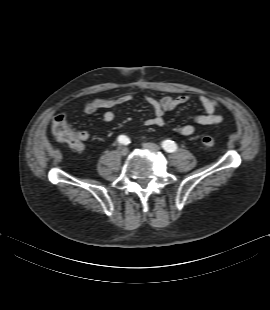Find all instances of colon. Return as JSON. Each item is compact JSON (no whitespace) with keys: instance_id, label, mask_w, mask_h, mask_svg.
Masks as SVG:
<instances>
[{"instance_id":"5ec220e1","label":"colon","mask_w":270,"mask_h":310,"mask_svg":"<svg viewBox=\"0 0 270 310\" xmlns=\"http://www.w3.org/2000/svg\"><path fill=\"white\" fill-rule=\"evenodd\" d=\"M54 136L62 143H65L75 149L81 147L78 133L73 130L65 115H57L51 125ZM201 143L205 147H212L215 145V139L211 135H204L201 137Z\"/></svg>"}]
</instances>
